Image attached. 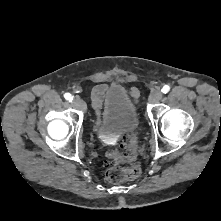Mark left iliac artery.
<instances>
[{
  "instance_id": "obj_1",
  "label": "left iliac artery",
  "mask_w": 221,
  "mask_h": 221,
  "mask_svg": "<svg viewBox=\"0 0 221 221\" xmlns=\"http://www.w3.org/2000/svg\"><path fill=\"white\" fill-rule=\"evenodd\" d=\"M170 91V87L168 86V85H165V86H163V88H162V92L163 93H168Z\"/></svg>"
}]
</instances>
